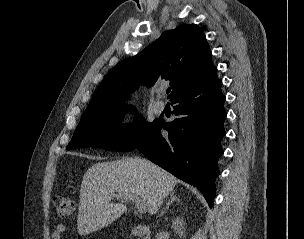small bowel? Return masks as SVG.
<instances>
[{
    "label": "small bowel",
    "mask_w": 304,
    "mask_h": 239,
    "mask_svg": "<svg viewBox=\"0 0 304 239\" xmlns=\"http://www.w3.org/2000/svg\"><path fill=\"white\" fill-rule=\"evenodd\" d=\"M65 232L64 224H58L54 231L52 232L51 238L52 239H61L63 233Z\"/></svg>",
    "instance_id": "obj_1"
}]
</instances>
